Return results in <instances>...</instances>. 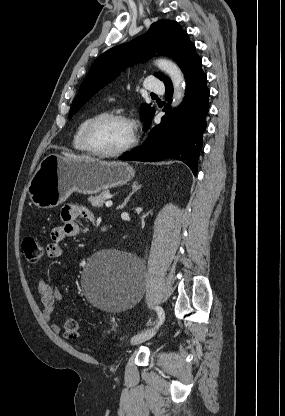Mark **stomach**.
<instances>
[{
    "label": "stomach",
    "instance_id": "0dacf381",
    "mask_svg": "<svg viewBox=\"0 0 285 416\" xmlns=\"http://www.w3.org/2000/svg\"><path fill=\"white\" fill-rule=\"evenodd\" d=\"M135 172L125 162L72 160L49 154L40 162L28 184L31 202L38 208H56L72 192L99 194L133 180Z\"/></svg>",
    "mask_w": 285,
    "mask_h": 416
}]
</instances>
